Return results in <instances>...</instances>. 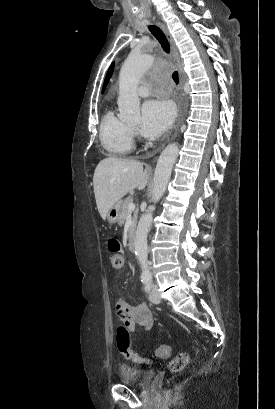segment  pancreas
Instances as JSON below:
<instances>
[{"instance_id": "cf45deb5", "label": "pancreas", "mask_w": 275, "mask_h": 409, "mask_svg": "<svg viewBox=\"0 0 275 409\" xmlns=\"http://www.w3.org/2000/svg\"><path fill=\"white\" fill-rule=\"evenodd\" d=\"M130 202H133V196H127V198H124L123 202H122V211H121V215L119 217V223L118 225H123L126 217H127V213H129L128 211V205H130ZM137 215H138V211H134V215H133V223L129 229V233H133V231H135V227H136V223H137Z\"/></svg>"}]
</instances>
